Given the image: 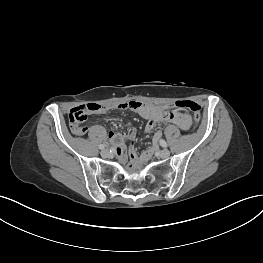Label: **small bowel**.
<instances>
[{
	"label": "small bowel",
	"instance_id": "obj_1",
	"mask_svg": "<svg viewBox=\"0 0 263 263\" xmlns=\"http://www.w3.org/2000/svg\"><path fill=\"white\" fill-rule=\"evenodd\" d=\"M115 108L120 110H126V109L132 110L137 114H139L144 119H146L147 124L145 127V131L147 133L152 132V130L154 129L155 125L158 122L173 123L183 130L188 129L191 124V120L189 116L186 114H182L175 111H169L165 108L140 101H129V102L121 103L116 105ZM106 111H108V108L102 106L101 109L97 111H92L90 113H104ZM135 135H136L135 129H133L128 135L110 132L108 134V141L115 146L117 154L120 157H123L125 154V144L128 142H134ZM160 136H161L160 132L156 133L155 140H158ZM148 157H149L148 153L143 154L141 157V161L145 162L148 159Z\"/></svg>",
	"mask_w": 263,
	"mask_h": 263
}]
</instances>
